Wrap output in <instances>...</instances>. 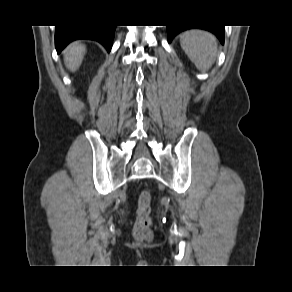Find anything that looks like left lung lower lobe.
Returning <instances> with one entry per match:
<instances>
[{
  "instance_id": "1",
  "label": "left lung lower lobe",
  "mask_w": 292,
  "mask_h": 292,
  "mask_svg": "<svg viewBox=\"0 0 292 292\" xmlns=\"http://www.w3.org/2000/svg\"><path fill=\"white\" fill-rule=\"evenodd\" d=\"M190 28H201L208 30L215 34L220 42L224 43V26H210V25H169L167 26L168 32V42H171L172 39L181 31L190 29Z\"/></svg>"
}]
</instances>
